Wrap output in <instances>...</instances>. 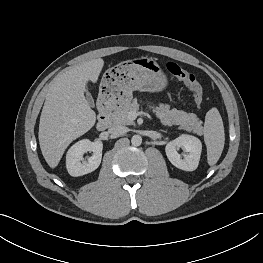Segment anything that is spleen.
I'll list each match as a JSON object with an SVG mask.
<instances>
[{"mask_svg":"<svg viewBox=\"0 0 263 263\" xmlns=\"http://www.w3.org/2000/svg\"><path fill=\"white\" fill-rule=\"evenodd\" d=\"M203 134L207 148L208 164L213 166L219 160L225 143L223 121L218 109L215 107L206 113Z\"/></svg>","mask_w":263,"mask_h":263,"instance_id":"1","label":"spleen"}]
</instances>
